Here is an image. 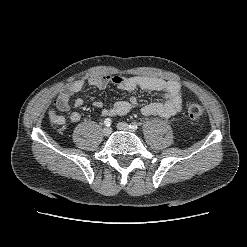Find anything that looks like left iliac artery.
I'll return each mask as SVG.
<instances>
[{
    "label": "left iliac artery",
    "mask_w": 247,
    "mask_h": 247,
    "mask_svg": "<svg viewBox=\"0 0 247 247\" xmlns=\"http://www.w3.org/2000/svg\"><path fill=\"white\" fill-rule=\"evenodd\" d=\"M129 127L131 128V129H137V124L136 123H131L130 125H129Z\"/></svg>",
    "instance_id": "44dca946"
}]
</instances>
